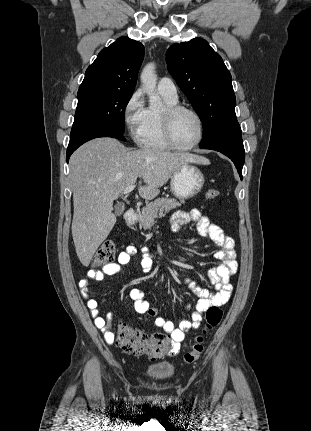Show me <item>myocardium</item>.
Here are the masks:
<instances>
[{
	"label": "myocardium",
	"instance_id": "myocardium-1",
	"mask_svg": "<svg viewBox=\"0 0 311 431\" xmlns=\"http://www.w3.org/2000/svg\"><path fill=\"white\" fill-rule=\"evenodd\" d=\"M182 112H189L196 116L200 124V135L198 139L189 146H180L174 137V123L176 118ZM162 132L163 138L166 143L173 149L180 151H187L196 148L202 142L205 134H206V123L202 115L194 108L186 105L175 104L168 106L164 109L162 113Z\"/></svg>",
	"mask_w": 311,
	"mask_h": 431
}]
</instances>
